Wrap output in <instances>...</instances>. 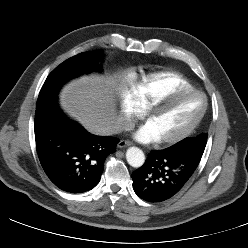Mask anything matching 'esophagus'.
<instances>
[{
    "instance_id": "esophagus-1",
    "label": "esophagus",
    "mask_w": 248,
    "mask_h": 248,
    "mask_svg": "<svg viewBox=\"0 0 248 248\" xmlns=\"http://www.w3.org/2000/svg\"><path fill=\"white\" fill-rule=\"evenodd\" d=\"M132 145V142L128 141V140H121L119 143H118V147L119 148H125V147H128V146H131Z\"/></svg>"
}]
</instances>
